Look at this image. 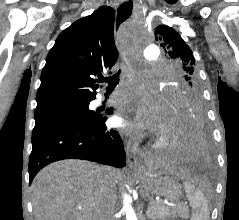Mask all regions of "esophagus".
I'll use <instances>...</instances> for the list:
<instances>
[{
  "label": "esophagus",
  "instance_id": "obj_1",
  "mask_svg": "<svg viewBox=\"0 0 239 220\" xmlns=\"http://www.w3.org/2000/svg\"><path fill=\"white\" fill-rule=\"evenodd\" d=\"M136 5L134 0H130L127 3H124L119 6L117 10V23L114 25V28L116 29V33L118 32L117 29L120 28V24L124 22L126 19L130 17V15H133L136 13ZM126 155H127V162L128 165L131 168L138 169L139 168V162L136 158L135 153L127 146L126 148Z\"/></svg>",
  "mask_w": 239,
  "mask_h": 220
}]
</instances>
